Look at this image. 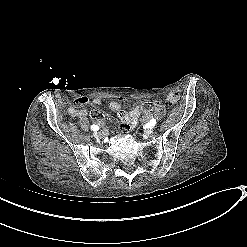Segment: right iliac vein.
<instances>
[{
	"label": "right iliac vein",
	"instance_id": "1",
	"mask_svg": "<svg viewBox=\"0 0 247 247\" xmlns=\"http://www.w3.org/2000/svg\"><path fill=\"white\" fill-rule=\"evenodd\" d=\"M93 136H94L95 138H99L100 135H99L98 132H94V133H93Z\"/></svg>",
	"mask_w": 247,
	"mask_h": 247
}]
</instances>
